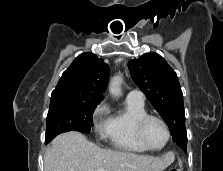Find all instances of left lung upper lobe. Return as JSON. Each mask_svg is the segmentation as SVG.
<instances>
[{
  "label": "left lung upper lobe",
  "instance_id": "left-lung-upper-lobe-1",
  "mask_svg": "<svg viewBox=\"0 0 223 171\" xmlns=\"http://www.w3.org/2000/svg\"><path fill=\"white\" fill-rule=\"evenodd\" d=\"M128 67L134 82L165 120L173 141L186 152L183 94L175 71L153 52L130 60Z\"/></svg>",
  "mask_w": 223,
  "mask_h": 171
}]
</instances>
